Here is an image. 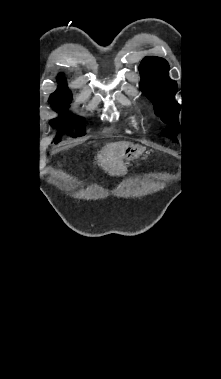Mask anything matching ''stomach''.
<instances>
[{
	"instance_id": "1",
	"label": "stomach",
	"mask_w": 221,
	"mask_h": 379,
	"mask_svg": "<svg viewBox=\"0 0 221 379\" xmlns=\"http://www.w3.org/2000/svg\"><path fill=\"white\" fill-rule=\"evenodd\" d=\"M143 153V149L137 145H130L124 152V158L126 161H133Z\"/></svg>"
}]
</instances>
